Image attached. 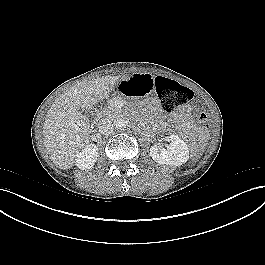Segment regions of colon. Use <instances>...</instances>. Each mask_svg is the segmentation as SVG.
<instances>
[{
  "instance_id": "colon-1",
  "label": "colon",
  "mask_w": 265,
  "mask_h": 265,
  "mask_svg": "<svg viewBox=\"0 0 265 265\" xmlns=\"http://www.w3.org/2000/svg\"><path fill=\"white\" fill-rule=\"evenodd\" d=\"M155 89L162 107L168 112L175 110L181 105L187 104L193 96L191 90L187 87L175 80L161 76L155 79ZM194 118L200 127L204 129L210 128L211 121L206 108H199L195 112Z\"/></svg>"
}]
</instances>
